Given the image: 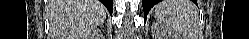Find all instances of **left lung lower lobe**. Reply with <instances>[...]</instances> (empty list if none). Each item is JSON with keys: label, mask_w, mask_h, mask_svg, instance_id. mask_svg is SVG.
I'll return each mask as SVG.
<instances>
[{"label": "left lung lower lobe", "mask_w": 249, "mask_h": 39, "mask_svg": "<svg viewBox=\"0 0 249 39\" xmlns=\"http://www.w3.org/2000/svg\"><path fill=\"white\" fill-rule=\"evenodd\" d=\"M159 0H142V4H143V10H144V17L146 19L148 12L150 11V9L156 4L158 3ZM196 3V1H194Z\"/></svg>", "instance_id": "0a47b994"}]
</instances>
